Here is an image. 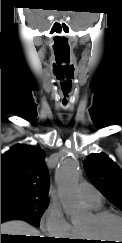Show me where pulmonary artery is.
<instances>
[{"mask_svg":"<svg viewBox=\"0 0 122 243\" xmlns=\"http://www.w3.org/2000/svg\"><path fill=\"white\" fill-rule=\"evenodd\" d=\"M79 191L83 200L91 207L101 205V193L92 185L88 183H80Z\"/></svg>","mask_w":122,"mask_h":243,"instance_id":"obj_1","label":"pulmonary artery"}]
</instances>
